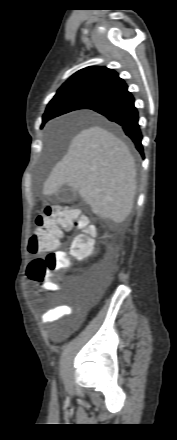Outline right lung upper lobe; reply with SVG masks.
Listing matches in <instances>:
<instances>
[{
	"label": "right lung upper lobe",
	"instance_id": "cb5924a9",
	"mask_svg": "<svg viewBox=\"0 0 177 440\" xmlns=\"http://www.w3.org/2000/svg\"><path fill=\"white\" fill-rule=\"evenodd\" d=\"M127 88L125 82L112 70L103 66H91L73 74L56 94L76 92L99 100ZM48 116L43 115V120Z\"/></svg>",
	"mask_w": 177,
	"mask_h": 440
}]
</instances>
